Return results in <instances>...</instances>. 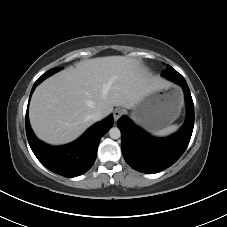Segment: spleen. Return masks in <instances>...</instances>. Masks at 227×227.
Wrapping results in <instances>:
<instances>
[{
    "mask_svg": "<svg viewBox=\"0 0 227 227\" xmlns=\"http://www.w3.org/2000/svg\"><path fill=\"white\" fill-rule=\"evenodd\" d=\"M178 126L177 125H171L166 128H163L157 132H154L153 135L155 136H166L169 135L177 130Z\"/></svg>",
    "mask_w": 227,
    "mask_h": 227,
    "instance_id": "1",
    "label": "spleen"
}]
</instances>
